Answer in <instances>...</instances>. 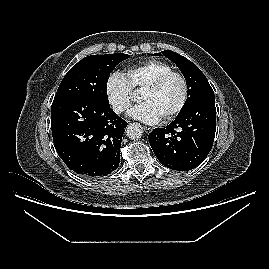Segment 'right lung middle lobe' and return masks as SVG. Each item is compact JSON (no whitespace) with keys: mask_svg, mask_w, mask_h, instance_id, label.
Returning a JSON list of instances; mask_svg holds the SVG:
<instances>
[{"mask_svg":"<svg viewBox=\"0 0 269 269\" xmlns=\"http://www.w3.org/2000/svg\"><path fill=\"white\" fill-rule=\"evenodd\" d=\"M129 57L116 53L83 58L64 76L54 99L77 97L109 105L107 82L110 73L118 63Z\"/></svg>","mask_w":269,"mask_h":269,"instance_id":"right-lung-middle-lobe-1","label":"right lung middle lobe"}]
</instances>
